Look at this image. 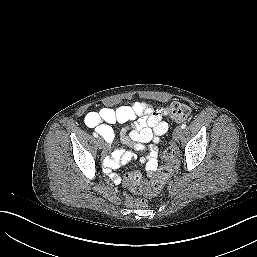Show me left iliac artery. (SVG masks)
<instances>
[{"instance_id":"44dca946","label":"left iliac artery","mask_w":257,"mask_h":257,"mask_svg":"<svg viewBox=\"0 0 257 257\" xmlns=\"http://www.w3.org/2000/svg\"><path fill=\"white\" fill-rule=\"evenodd\" d=\"M186 127H187L186 123H183V124L181 125V128H182V129H185Z\"/></svg>"}]
</instances>
